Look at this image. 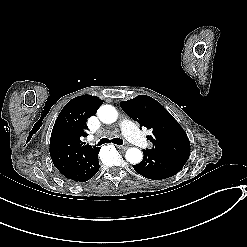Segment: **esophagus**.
I'll list each match as a JSON object with an SVG mask.
<instances>
[{"instance_id":"1","label":"esophagus","mask_w":247,"mask_h":247,"mask_svg":"<svg viewBox=\"0 0 247 247\" xmlns=\"http://www.w3.org/2000/svg\"><path fill=\"white\" fill-rule=\"evenodd\" d=\"M117 148H118L119 150H121V151H125V150L127 149L126 146H118Z\"/></svg>"}]
</instances>
